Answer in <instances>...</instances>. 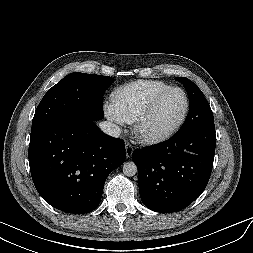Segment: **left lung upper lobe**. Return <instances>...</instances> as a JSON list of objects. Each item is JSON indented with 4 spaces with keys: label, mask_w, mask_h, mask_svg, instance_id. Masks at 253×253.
I'll return each mask as SVG.
<instances>
[{
    "label": "left lung upper lobe",
    "mask_w": 253,
    "mask_h": 253,
    "mask_svg": "<svg viewBox=\"0 0 253 253\" xmlns=\"http://www.w3.org/2000/svg\"><path fill=\"white\" fill-rule=\"evenodd\" d=\"M176 79L185 86L190 102L189 113L179 132H190L214 124L210 105L197 85L184 77Z\"/></svg>",
    "instance_id": "5c2ea615"
}]
</instances>
